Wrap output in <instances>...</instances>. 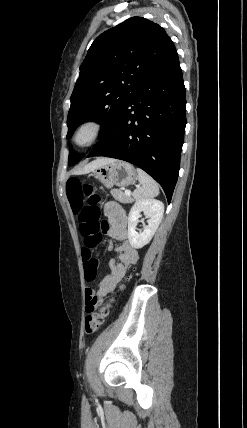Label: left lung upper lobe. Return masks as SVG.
I'll use <instances>...</instances> for the list:
<instances>
[{
	"label": "left lung upper lobe",
	"mask_w": 247,
	"mask_h": 428,
	"mask_svg": "<svg viewBox=\"0 0 247 428\" xmlns=\"http://www.w3.org/2000/svg\"><path fill=\"white\" fill-rule=\"evenodd\" d=\"M175 50L165 30L142 17H132L97 37L70 98L67 139L87 120L101 122L105 134L126 101ZM81 157L70 149L68 164Z\"/></svg>",
	"instance_id": "5c2ea615"
}]
</instances>
